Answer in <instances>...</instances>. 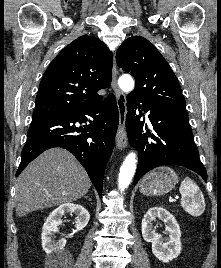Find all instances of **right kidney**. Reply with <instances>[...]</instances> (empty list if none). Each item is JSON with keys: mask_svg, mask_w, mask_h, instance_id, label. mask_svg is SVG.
Here are the masks:
<instances>
[{"mask_svg": "<svg viewBox=\"0 0 221 268\" xmlns=\"http://www.w3.org/2000/svg\"><path fill=\"white\" fill-rule=\"evenodd\" d=\"M70 213L76 215L75 227L82 230L89 222L90 214L83 206L73 203H65L56 208L43 225L41 239L42 247L49 254L62 250L66 245V239L55 241L54 234L58 231V226L62 223V217Z\"/></svg>", "mask_w": 221, "mask_h": 268, "instance_id": "right-kidney-1", "label": "right kidney"}]
</instances>
